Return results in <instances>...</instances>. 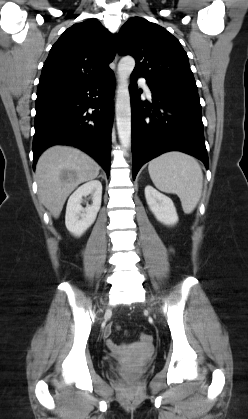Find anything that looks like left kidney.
Here are the masks:
<instances>
[{
  "label": "left kidney",
  "instance_id": "5707ae66",
  "mask_svg": "<svg viewBox=\"0 0 248 419\" xmlns=\"http://www.w3.org/2000/svg\"><path fill=\"white\" fill-rule=\"evenodd\" d=\"M145 197L150 210L159 222L169 226L178 222L176 208L169 197L150 185L145 187Z\"/></svg>",
  "mask_w": 248,
  "mask_h": 419
}]
</instances>
